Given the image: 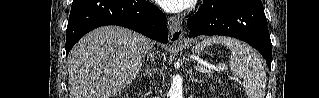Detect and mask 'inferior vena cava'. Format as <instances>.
<instances>
[{
    "instance_id": "1",
    "label": "inferior vena cava",
    "mask_w": 319,
    "mask_h": 98,
    "mask_svg": "<svg viewBox=\"0 0 319 98\" xmlns=\"http://www.w3.org/2000/svg\"><path fill=\"white\" fill-rule=\"evenodd\" d=\"M148 57L150 59L151 64H153V70H156V65H155V55L154 53L151 51L148 54Z\"/></svg>"
}]
</instances>
